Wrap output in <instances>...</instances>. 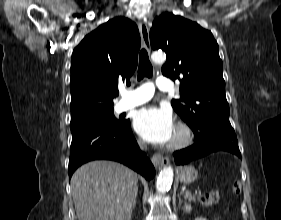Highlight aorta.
Returning a JSON list of instances; mask_svg holds the SVG:
<instances>
[{
	"mask_svg": "<svg viewBox=\"0 0 281 220\" xmlns=\"http://www.w3.org/2000/svg\"><path fill=\"white\" fill-rule=\"evenodd\" d=\"M166 59V56L162 52H154L152 54V60L156 63H162ZM173 181V168L171 166L164 167L156 181V188L158 192L168 191L172 185Z\"/></svg>",
	"mask_w": 281,
	"mask_h": 220,
	"instance_id": "aorta-1",
	"label": "aorta"
}]
</instances>
